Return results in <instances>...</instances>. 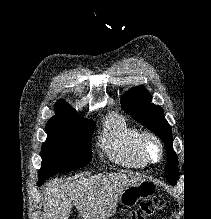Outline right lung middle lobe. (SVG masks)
Here are the masks:
<instances>
[{
  "label": "right lung middle lobe",
  "instance_id": "1",
  "mask_svg": "<svg viewBox=\"0 0 211 219\" xmlns=\"http://www.w3.org/2000/svg\"><path fill=\"white\" fill-rule=\"evenodd\" d=\"M95 123L82 117L50 119L42 145L40 186L51 175L74 170L91 161V135Z\"/></svg>",
  "mask_w": 211,
  "mask_h": 219
}]
</instances>
